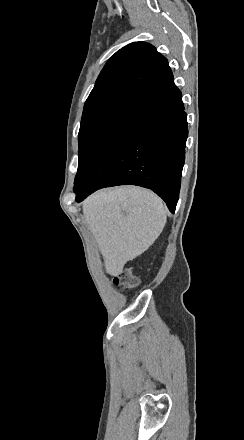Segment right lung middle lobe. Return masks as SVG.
<instances>
[{
  "instance_id": "dd1d6c3e",
  "label": "right lung middle lobe",
  "mask_w": 244,
  "mask_h": 440,
  "mask_svg": "<svg viewBox=\"0 0 244 440\" xmlns=\"http://www.w3.org/2000/svg\"><path fill=\"white\" fill-rule=\"evenodd\" d=\"M139 99L120 95L109 100L85 104L78 135L79 165L74 184L82 177L108 134Z\"/></svg>"
}]
</instances>
